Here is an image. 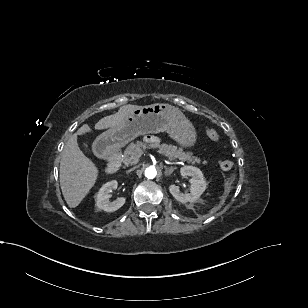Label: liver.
Masks as SVG:
<instances>
[{"label":"liver","mask_w":308,"mask_h":308,"mask_svg":"<svg viewBox=\"0 0 308 308\" xmlns=\"http://www.w3.org/2000/svg\"><path fill=\"white\" fill-rule=\"evenodd\" d=\"M142 106L124 105L113 115L100 119L95 124V129L102 130L113 127L124 121V119L135 109ZM91 132L88 124H84L67 141L61 156L60 162V186L62 194L70 208L77 207L83 198L94 186L98 168L80 150L77 143V136Z\"/></svg>","instance_id":"6515ba94"}]
</instances>
